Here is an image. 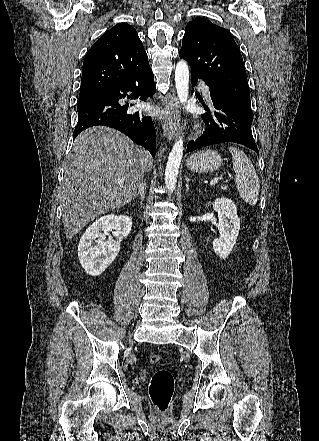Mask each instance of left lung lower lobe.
<instances>
[{
    "label": "left lung lower lobe",
    "instance_id": "obj_1",
    "mask_svg": "<svg viewBox=\"0 0 319 441\" xmlns=\"http://www.w3.org/2000/svg\"><path fill=\"white\" fill-rule=\"evenodd\" d=\"M198 79L200 78L191 75L193 86H195ZM208 88L211 92L212 109L202 103L207 112L201 116L206 130L196 141L188 143L187 152L213 144L234 142L249 147L258 154V148L251 131L252 112L230 101L215 89L209 86Z\"/></svg>",
    "mask_w": 319,
    "mask_h": 441
}]
</instances>
